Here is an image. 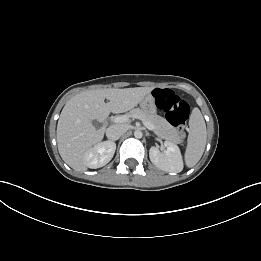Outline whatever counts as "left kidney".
Here are the masks:
<instances>
[{"instance_id": "5707ae66", "label": "left kidney", "mask_w": 261, "mask_h": 261, "mask_svg": "<svg viewBox=\"0 0 261 261\" xmlns=\"http://www.w3.org/2000/svg\"><path fill=\"white\" fill-rule=\"evenodd\" d=\"M164 146L166 150L160 152L159 148L152 146L149 150V157L151 162L159 169L170 172L179 173L183 170V160L179 147L172 143L165 141Z\"/></svg>"}]
</instances>
